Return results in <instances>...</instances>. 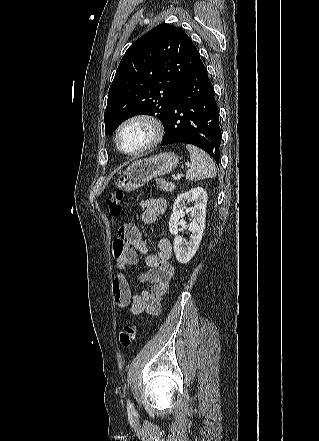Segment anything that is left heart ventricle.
Wrapping results in <instances>:
<instances>
[{"mask_svg":"<svg viewBox=\"0 0 319 441\" xmlns=\"http://www.w3.org/2000/svg\"><path fill=\"white\" fill-rule=\"evenodd\" d=\"M150 130L144 124H132L121 134V143L126 150H135L147 142Z\"/></svg>","mask_w":319,"mask_h":441,"instance_id":"b2bd125f","label":"left heart ventricle"}]
</instances>
